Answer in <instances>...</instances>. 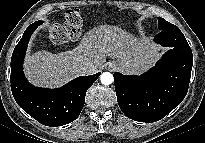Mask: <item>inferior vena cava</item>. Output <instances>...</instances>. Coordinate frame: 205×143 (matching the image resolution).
Segmentation results:
<instances>
[{
    "instance_id": "obj_1",
    "label": "inferior vena cava",
    "mask_w": 205,
    "mask_h": 143,
    "mask_svg": "<svg viewBox=\"0 0 205 143\" xmlns=\"http://www.w3.org/2000/svg\"><path fill=\"white\" fill-rule=\"evenodd\" d=\"M81 71L84 75L94 74L96 72V67L92 62L85 61L81 64Z\"/></svg>"
}]
</instances>
